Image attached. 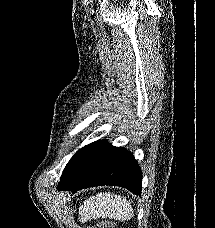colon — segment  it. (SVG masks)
I'll return each instance as SVG.
<instances>
[{
  "label": "colon",
  "mask_w": 215,
  "mask_h": 228,
  "mask_svg": "<svg viewBox=\"0 0 215 228\" xmlns=\"http://www.w3.org/2000/svg\"><path fill=\"white\" fill-rule=\"evenodd\" d=\"M87 228H96V225H87ZM99 228H114L112 223H108L105 225H100Z\"/></svg>",
  "instance_id": "obj_1"
}]
</instances>
